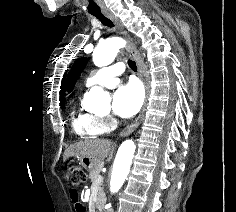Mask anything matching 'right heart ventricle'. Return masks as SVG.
Returning a JSON list of instances; mask_svg holds the SVG:
<instances>
[{
  "label": "right heart ventricle",
  "mask_w": 236,
  "mask_h": 212,
  "mask_svg": "<svg viewBox=\"0 0 236 212\" xmlns=\"http://www.w3.org/2000/svg\"><path fill=\"white\" fill-rule=\"evenodd\" d=\"M74 132L83 138L95 137L105 132L101 117L74 107L71 113Z\"/></svg>",
  "instance_id": "right-heart-ventricle-1"
}]
</instances>
